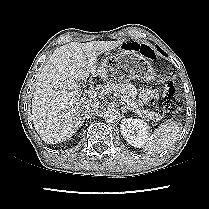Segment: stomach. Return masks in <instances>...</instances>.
Wrapping results in <instances>:
<instances>
[{
    "label": "stomach",
    "instance_id": "obj_1",
    "mask_svg": "<svg viewBox=\"0 0 209 209\" xmlns=\"http://www.w3.org/2000/svg\"><path fill=\"white\" fill-rule=\"evenodd\" d=\"M101 74L108 81L141 79L152 81L155 73L149 61L136 51H121L106 57L101 63Z\"/></svg>",
    "mask_w": 209,
    "mask_h": 209
}]
</instances>
